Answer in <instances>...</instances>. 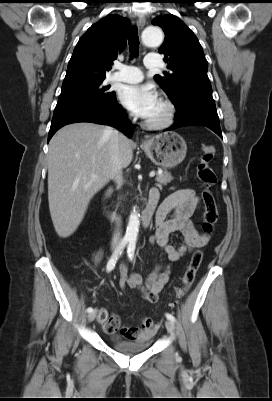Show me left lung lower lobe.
<instances>
[{
    "label": "left lung lower lobe",
    "instance_id": "1",
    "mask_svg": "<svg viewBox=\"0 0 272 401\" xmlns=\"http://www.w3.org/2000/svg\"><path fill=\"white\" fill-rule=\"evenodd\" d=\"M176 110L175 123L167 130L187 125H202L212 129L222 138L219 117L213 99L189 98L176 106Z\"/></svg>",
    "mask_w": 272,
    "mask_h": 401
}]
</instances>
